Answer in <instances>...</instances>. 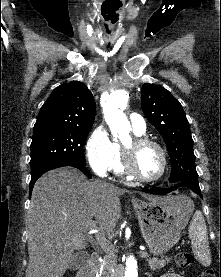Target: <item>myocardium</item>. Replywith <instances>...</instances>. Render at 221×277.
<instances>
[{
    "label": "myocardium",
    "mask_w": 221,
    "mask_h": 277,
    "mask_svg": "<svg viewBox=\"0 0 221 277\" xmlns=\"http://www.w3.org/2000/svg\"><path fill=\"white\" fill-rule=\"evenodd\" d=\"M147 146L155 147L160 153L161 160H162L161 171L156 177H153V178H147L142 176L136 169V165H135V158L137 153L141 149ZM122 164L125 172L130 177L144 183H154L159 181L165 175L167 170L168 160H167L166 151L161 146L160 143L144 136H135L134 138L131 139L130 142L122 145Z\"/></svg>",
    "instance_id": "1"
}]
</instances>
